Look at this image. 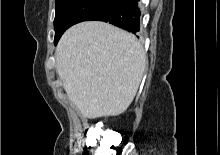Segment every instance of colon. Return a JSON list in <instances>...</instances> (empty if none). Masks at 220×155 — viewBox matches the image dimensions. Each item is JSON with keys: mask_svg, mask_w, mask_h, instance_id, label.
<instances>
[{"mask_svg": "<svg viewBox=\"0 0 220 155\" xmlns=\"http://www.w3.org/2000/svg\"><path fill=\"white\" fill-rule=\"evenodd\" d=\"M96 143H90V146H86V151H97L89 152L88 155H113L114 145L112 143L111 135L107 133L93 132Z\"/></svg>", "mask_w": 220, "mask_h": 155, "instance_id": "colon-1", "label": "colon"}]
</instances>
